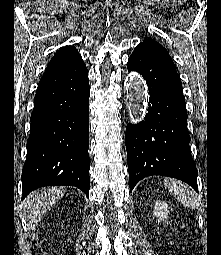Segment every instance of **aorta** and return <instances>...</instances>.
<instances>
[{
  "label": "aorta",
  "mask_w": 221,
  "mask_h": 255,
  "mask_svg": "<svg viewBox=\"0 0 221 255\" xmlns=\"http://www.w3.org/2000/svg\"><path fill=\"white\" fill-rule=\"evenodd\" d=\"M148 93L142 81L134 79L130 81L127 91L128 105L131 110V118L135 122L143 119L147 105Z\"/></svg>",
  "instance_id": "aorta-1"
}]
</instances>
